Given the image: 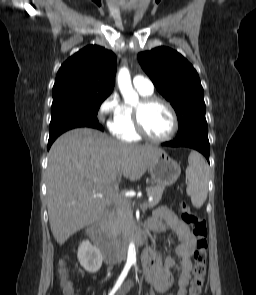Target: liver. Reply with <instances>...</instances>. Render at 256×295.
<instances>
[{"label":"liver","mask_w":256,"mask_h":295,"mask_svg":"<svg viewBox=\"0 0 256 295\" xmlns=\"http://www.w3.org/2000/svg\"><path fill=\"white\" fill-rule=\"evenodd\" d=\"M163 152L151 145H128L97 130L66 132L51 146L47 167V209L59 245L98 221L117 178L136 181Z\"/></svg>","instance_id":"6515ba94"}]
</instances>
